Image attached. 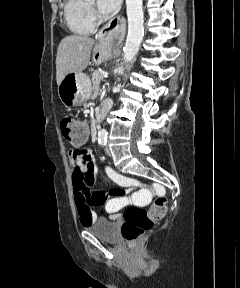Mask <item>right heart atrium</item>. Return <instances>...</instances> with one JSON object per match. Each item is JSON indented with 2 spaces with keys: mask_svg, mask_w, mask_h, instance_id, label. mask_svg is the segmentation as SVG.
<instances>
[{
  "mask_svg": "<svg viewBox=\"0 0 240 288\" xmlns=\"http://www.w3.org/2000/svg\"><path fill=\"white\" fill-rule=\"evenodd\" d=\"M90 10H91V14H92V16H93V15L95 14V13H94V10H93L92 8H91Z\"/></svg>",
  "mask_w": 240,
  "mask_h": 288,
  "instance_id": "obj_1",
  "label": "right heart atrium"
}]
</instances>
